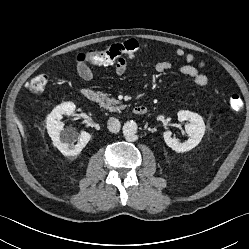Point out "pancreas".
Masks as SVG:
<instances>
[{"label": "pancreas", "mask_w": 249, "mask_h": 249, "mask_svg": "<svg viewBox=\"0 0 249 249\" xmlns=\"http://www.w3.org/2000/svg\"><path fill=\"white\" fill-rule=\"evenodd\" d=\"M101 99H100V106L108 109L109 111H119L124 109L125 105H120V101L116 100L114 98H109V94L100 93Z\"/></svg>", "instance_id": "1"}]
</instances>
